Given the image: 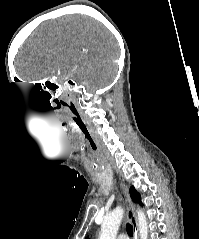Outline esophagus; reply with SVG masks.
Here are the masks:
<instances>
[{"label": "esophagus", "mask_w": 199, "mask_h": 239, "mask_svg": "<svg viewBox=\"0 0 199 239\" xmlns=\"http://www.w3.org/2000/svg\"><path fill=\"white\" fill-rule=\"evenodd\" d=\"M121 188L123 190L124 196H125V203L127 208V218L131 222L134 228V238L138 239V230H137V223H136V216H135V209L134 205L130 199L128 188L125 186V184L121 183Z\"/></svg>", "instance_id": "esophagus-1"}]
</instances>
